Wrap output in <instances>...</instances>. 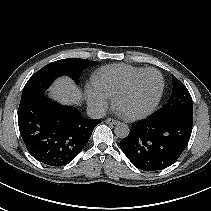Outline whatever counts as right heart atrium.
Instances as JSON below:
<instances>
[{"instance_id": "d8ad5b80", "label": "right heart atrium", "mask_w": 211, "mask_h": 211, "mask_svg": "<svg viewBox=\"0 0 211 211\" xmlns=\"http://www.w3.org/2000/svg\"><path fill=\"white\" fill-rule=\"evenodd\" d=\"M88 100L98 110L105 109L110 101V96L102 89L92 85L87 90Z\"/></svg>"}]
</instances>
